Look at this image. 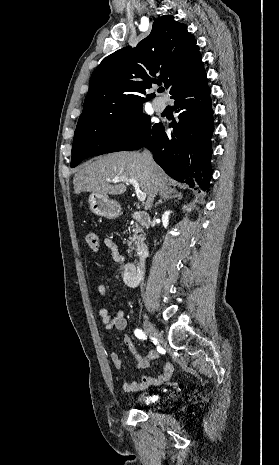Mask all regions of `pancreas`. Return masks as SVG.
<instances>
[{
	"label": "pancreas",
	"mask_w": 279,
	"mask_h": 465,
	"mask_svg": "<svg viewBox=\"0 0 279 465\" xmlns=\"http://www.w3.org/2000/svg\"><path fill=\"white\" fill-rule=\"evenodd\" d=\"M132 235L129 237L128 241V253L131 255L132 252L138 250L143 242L144 236L142 234V229L141 227L136 224L132 226Z\"/></svg>",
	"instance_id": "pancreas-1"
}]
</instances>
